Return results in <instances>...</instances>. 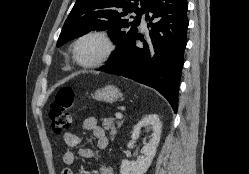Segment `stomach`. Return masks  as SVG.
I'll return each instance as SVG.
<instances>
[{"instance_id":"obj_1","label":"stomach","mask_w":249,"mask_h":174,"mask_svg":"<svg viewBox=\"0 0 249 174\" xmlns=\"http://www.w3.org/2000/svg\"><path fill=\"white\" fill-rule=\"evenodd\" d=\"M120 97H121L120 90L112 85H108L102 89H98L94 94L95 99L109 103L116 101Z\"/></svg>"}]
</instances>
